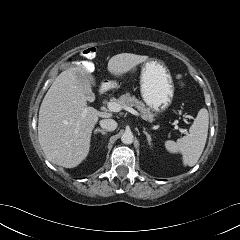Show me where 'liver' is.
Masks as SVG:
<instances>
[{"label":"liver","instance_id":"obj_1","mask_svg":"<svg viewBox=\"0 0 240 240\" xmlns=\"http://www.w3.org/2000/svg\"><path fill=\"white\" fill-rule=\"evenodd\" d=\"M148 59L145 55L121 53L110 58L107 69L121 76ZM77 73L83 74L89 83H95L86 65L70 67L54 80L39 109L40 146L50 162L66 168L78 166L87 157L98 118L111 116L87 106V96L78 84Z\"/></svg>","mask_w":240,"mask_h":240}]
</instances>
